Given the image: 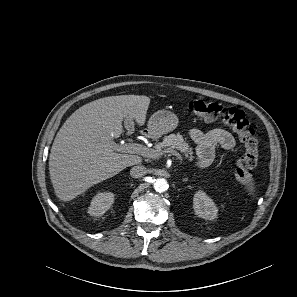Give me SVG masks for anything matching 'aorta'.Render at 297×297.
Here are the masks:
<instances>
[{
    "mask_svg": "<svg viewBox=\"0 0 297 297\" xmlns=\"http://www.w3.org/2000/svg\"><path fill=\"white\" fill-rule=\"evenodd\" d=\"M153 187L157 192L161 193L168 189V183L164 178H158L155 180Z\"/></svg>",
    "mask_w": 297,
    "mask_h": 297,
    "instance_id": "762f6f07",
    "label": "aorta"
}]
</instances>
